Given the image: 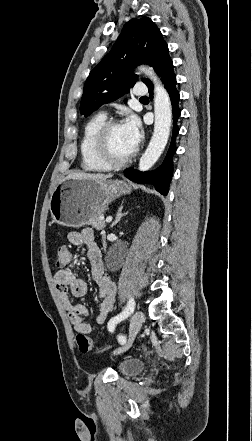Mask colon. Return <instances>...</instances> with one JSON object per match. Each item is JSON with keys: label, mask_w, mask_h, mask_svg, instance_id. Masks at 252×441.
Returning <instances> with one entry per match:
<instances>
[{"label": "colon", "mask_w": 252, "mask_h": 441, "mask_svg": "<svg viewBox=\"0 0 252 441\" xmlns=\"http://www.w3.org/2000/svg\"><path fill=\"white\" fill-rule=\"evenodd\" d=\"M71 261V254L67 246L61 245L57 248V266L64 267L68 265ZM76 342L79 350L83 353L90 351L91 342L85 333L78 332L76 336Z\"/></svg>", "instance_id": "1"}]
</instances>
